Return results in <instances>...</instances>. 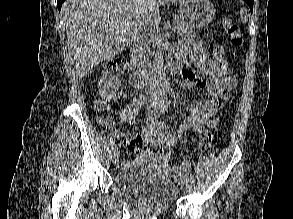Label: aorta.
<instances>
[{"label": "aorta", "instance_id": "1", "mask_svg": "<svg viewBox=\"0 0 293 219\" xmlns=\"http://www.w3.org/2000/svg\"><path fill=\"white\" fill-rule=\"evenodd\" d=\"M154 71L158 75L159 83L163 92L169 89L168 81L166 80V74L164 72V58L162 50L159 49L155 54L154 59Z\"/></svg>", "mask_w": 293, "mask_h": 219}]
</instances>
